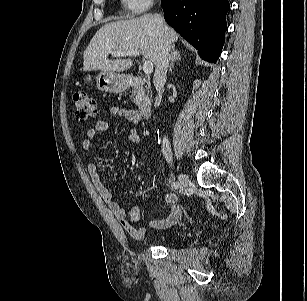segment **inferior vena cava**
Returning <instances> with one entry per match:
<instances>
[{
	"label": "inferior vena cava",
	"instance_id": "602c4592",
	"mask_svg": "<svg viewBox=\"0 0 307 301\" xmlns=\"http://www.w3.org/2000/svg\"><path fill=\"white\" fill-rule=\"evenodd\" d=\"M159 18L161 21H163L162 15H159ZM170 59H171V46L170 43L166 39H164L160 47L158 61L156 64V69L153 78L155 88L159 94L162 93V91L164 90V85L166 83L167 68ZM161 148L164 155H169L171 153V148L168 138L166 137L163 138Z\"/></svg>",
	"mask_w": 307,
	"mask_h": 301
}]
</instances>
